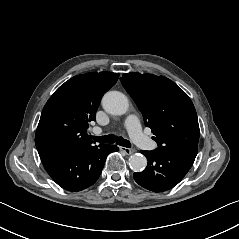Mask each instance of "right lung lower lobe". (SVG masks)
<instances>
[{"mask_svg":"<svg viewBox=\"0 0 239 239\" xmlns=\"http://www.w3.org/2000/svg\"><path fill=\"white\" fill-rule=\"evenodd\" d=\"M115 145H89L41 153V161L51 178L63 189L81 191L99 178L106 157L118 151Z\"/></svg>","mask_w":239,"mask_h":239,"instance_id":"98d812e1","label":"right lung lower lobe"}]
</instances>
